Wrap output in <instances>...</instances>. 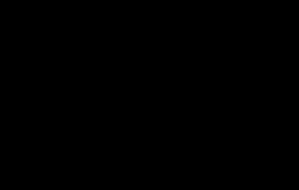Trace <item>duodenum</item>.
Returning a JSON list of instances; mask_svg holds the SVG:
<instances>
[{
    "label": "duodenum",
    "mask_w": 299,
    "mask_h": 190,
    "mask_svg": "<svg viewBox=\"0 0 299 190\" xmlns=\"http://www.w3.org/2000/svg\"><path fill=\"white\" fill-rule=\"evenodd\" d=\"M160 76H165L164 72L160 73ZM137 76L135 73H128L123 77V83L125 85H130L136 80Z\"/></svg>",
    "instance_id": "410a0bca"
}]
</instances>
